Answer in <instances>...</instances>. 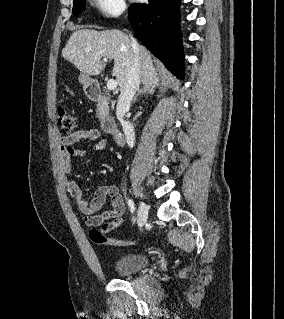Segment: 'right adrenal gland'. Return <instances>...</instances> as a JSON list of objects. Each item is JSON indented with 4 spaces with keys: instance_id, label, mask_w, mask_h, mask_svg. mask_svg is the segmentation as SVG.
<instances>
[{
    "instance_id": "2a0ac1e0",
    "label": "right adrenal gland",
    "mask_w": 284,
    "mask_h": 319,
    "mask_svg": "<svg viewBox=\"0 0 284 319\" xmlns=\"http://www.w3.org/2000/svg\"><path fill=\"white\" fill-rule=\"evenodd\" d=\"M154 92L153 88H149L147 86H144L140 90H138L137 94L135 95L133 102L136 101L137 97L141 94H143L146 98H148L149 95H152Z\"/></svg>"
}]
</instances>
